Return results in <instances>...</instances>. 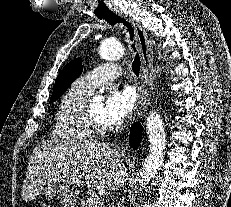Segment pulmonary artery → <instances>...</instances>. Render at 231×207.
<instances>
[{"instance_id": "1", "label": "pulmonary artery", "mask_w": 231, "mask_h": 207, "mask_svg": "<svg viewBox=\"0 0 231 207\" xmlns=\"http://www.w3.org/2000/svg\"><path fill=\"white\" fill-rule=\"evenodd\" d=\"M121 74V68L112 63H103L93 70L80 76L75 84L82 91L91 93L99 86H105L116 80Z\"/></svg>"}]
</instances>
